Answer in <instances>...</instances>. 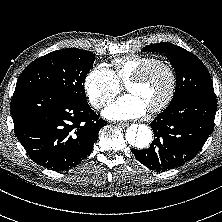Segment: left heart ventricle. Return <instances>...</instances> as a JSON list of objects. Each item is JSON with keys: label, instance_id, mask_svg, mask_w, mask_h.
<instances>
[{"label": "left heart ventricle", "instance_id": "b2bd125f", "mask_svg": "<svg viewBox=\"0 0 222 222\" xmlns=\"http://www.w3.org/2000/svg\"><path fill=\"white\" fill-rule=\"evenodd\" d=\"M169 83L168 72L163 67L156 66L142 81L126 84V90L140 97L149 109L161 102L168 91Z\"/></svg>", "mask_w": 222, "mask_h": 222}]
</instances>
